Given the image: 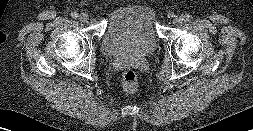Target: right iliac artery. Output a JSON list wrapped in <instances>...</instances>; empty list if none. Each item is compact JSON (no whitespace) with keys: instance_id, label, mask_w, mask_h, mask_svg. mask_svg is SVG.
I'll return each instance as SVG.
<instances>
[{"instance_id":"82829eb1","label":"right iliac artery","mask_w":253,"mask_h":131,"mask_svg":"<svg viewBox=\"0 0 253 131\" xmlns=\"http://www.w3.org/2000/svg\"><path fill=\"white\" fill-rule=\"evenodd\" d=\"M71 17L77 18V17H79V13L76 11H73V12H71Z\"/></svg>"}]
</instances>
